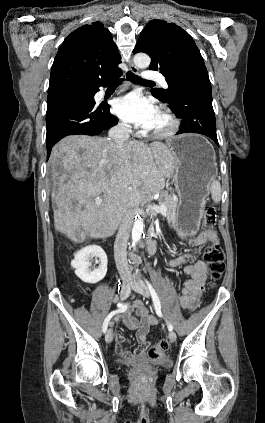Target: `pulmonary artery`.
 <instances>
[{"instance_id":"obj_1","label":"pulmonary artery","mask_w":265,"mask_h":423,"mask_svg":"<svg viewBox=\"0 0 265 423\" xmlns=\"http://www.w3.org/2000/svg\"><path fill=\"white\" fill-rule=\"evenodd\" d=\"M144 79L148 80V81L159 79L164 88L168 87L167 83L165 82V80L161 77V75L158 72L150 71V70L146 71V73L144 75Z\"/></svg>"}]
</instances>
